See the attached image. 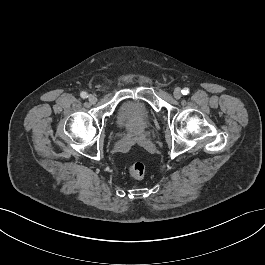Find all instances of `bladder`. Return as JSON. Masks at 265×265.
Wrapping results in <instances>:
<instances>
[{
	"instance_id": "bladder-1",
	"label": "bladder",
	"mask_w": 265,
	"mask_h": 265,
	"mask_svg": "<svg viewBox=\"0 0 265 265\" xmlns=\"http://www.w3.org/2000/svg\"><path fill=\"white\" fill-rule=\"evenodd\" d=\"M119 124L135 130H143L148 127L151 115L148 110L134 102H128L118 111Z\"/></svg>"
}]
</instances>
